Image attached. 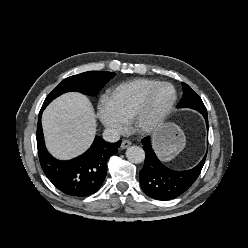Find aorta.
<instances>
[{
    "mask_svg": "<svg viewBox=\"0 0 248 248\" xmlns=\"http://www.w3.org/2000/svg\"><path fill=\"white\" fill-rule=\"evenodd\" d=\"M127 159L135 164L141 163L145 159V152L139 146H131L126 150Z\"/></svg>",
    "mask_w": 248,
    "mask_h": 248,
    "instance_id": "1",
    "label": "aorta"
}]
</instances>
